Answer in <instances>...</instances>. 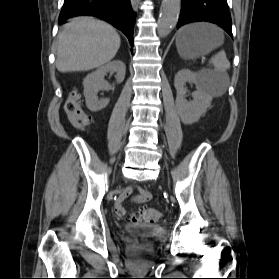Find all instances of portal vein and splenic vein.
I'll list each match as a JSON object with an SVG mask.
<instances>
[{
  "label": "portal vein and splenic vein",
  "mask_w": 279,
  "mask_h": 279,
  "mask_svg": "<svg viewBox=\"0 0 279 279\" xmlns=\"http://www.w3.org/2000/svg\"><path fill=\"white\" fill-rule=\"evenodd\" d=\"M204 61H205V57H202V58H201V62H204Z\"/></svg>",
  "instance_id": "1"
}]
</instances>
